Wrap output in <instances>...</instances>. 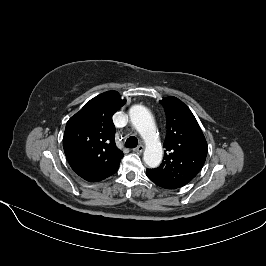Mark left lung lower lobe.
<instances>
[{
    "mask_svg": "<svg viewBox=\"0 0 266 266\" xmlns=\"http://www.w3.org/2000/svg\"><path fill=\"white\" fill-rule=\"evenodd\" d=\"M147 177L153 181L158 186L165 188V189H175L164 183L161 179H159L150 169L146 170Z\"/></svg>",
    "mask_w": 266,
    "mask_h": 266,
    "instance_id": "1",
    "label": "left lung lower lobe"
}]
</instances>
